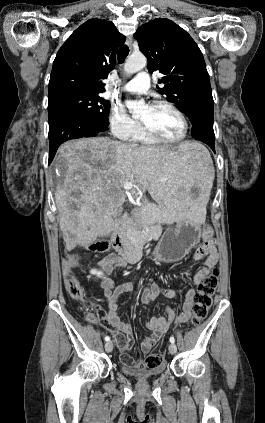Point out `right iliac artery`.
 Instances as JSON below:
<instances>
[{"label":"right iliac artery","instance_id":"obj_1","mask_svg":"<svg viewBox=\"0 0 265 423\" xmlns=\"http://www.w3.org/2000/svg\"><path fill=\"white\" fill-rule=\"evenodd\" d=\"M104 339H105V341H109L110 340V337L109 336H106Z\"/></svg>","mask_w":265,"mask_h":423}]
</instances>
